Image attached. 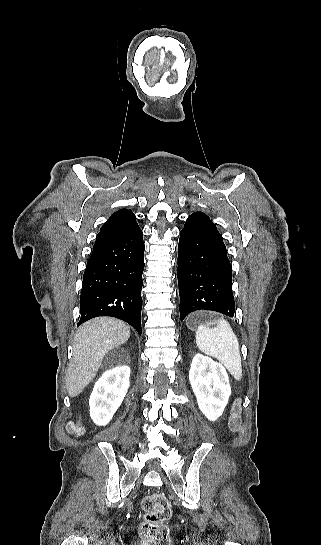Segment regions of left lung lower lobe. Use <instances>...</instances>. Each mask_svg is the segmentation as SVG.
I'll list each match as a JSON object with an SVG mask.
<instances>
[{"mask_svg": "<svg viewBox=\"0 0 321 545\" xmlns=\"http://www.w3.org/2000/svg\"><path fill=\"white\" fill-rule=\"evenodd\" d=\"M178 285L181 321L193 311L234 316L232 268L221 234L202 212L190 215L180 232Z\"/></svg>", "mask_w": 321, "mask_h": 545, "instance_id": "left-lung-lower-lobe-1", "label": "left lung lower lobe"}]
</instances>
